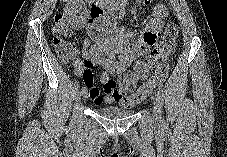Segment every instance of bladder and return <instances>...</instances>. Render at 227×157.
Segmentation results:
<instances>
[{
  "instance_id": "1",
  "label": "bladder",
  "mask_w": 227,
  "mask_h": 157,
  "mask_svg": "<svg viewBox=\"0 0 227 157\" xmlns=\"http://www.w3.org/2000/svg\"><path fill=\"white\" fill-rule=\"evenodd\" d=\"M95 112L107 119H121L131 116L134 113V110L131 108L109 106L97 108L95 109Z\"/></svg>"
}]
</instances>
